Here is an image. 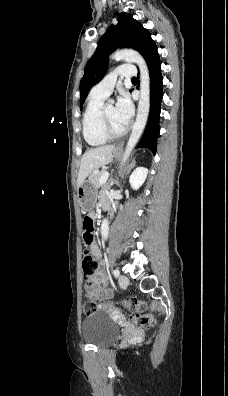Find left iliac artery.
<instances>
[{
    "label": "left iliac artery",
    "mask_w": 228,
    "mask_h": 396,
    "mask_svg": "<svg viewBox=\"0 0 228 396\" xmlns=\"http://www.w3.org/2000/svg\"><path fill=\"white\" fill-rule=\"evenodd\" d=\"M113 274H114V276L117 278L118 276H119V270L118 269H115L114 271H113Z\"/></svg>",
    "instance_id": "1"
}]
</instances>
